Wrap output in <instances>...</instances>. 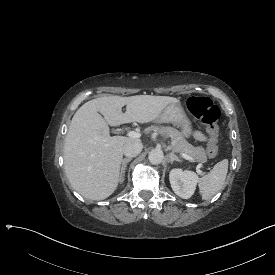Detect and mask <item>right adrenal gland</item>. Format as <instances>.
Here are the masks:
<instances>
[{
    "label": "right adrenal gland",
    "instance_id": "1",
    "mask_svg": "<svg viewBox=\"0 0 275 275\" xmlns=\"http://www.w3.org/2000/svg\"><path fill=\"white\" fill-rule=\"evenodd\" d=\"M132 160V158H124L122 160V166H121V171H120V175H119V181L120 183H122L124 181V176H125V170L127 167V163L130 162Z\"/></svg>",
    "mask_w": 275,
    "mask_h": 275
}]
</instances>
